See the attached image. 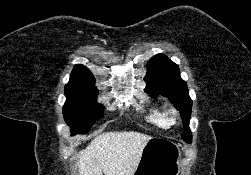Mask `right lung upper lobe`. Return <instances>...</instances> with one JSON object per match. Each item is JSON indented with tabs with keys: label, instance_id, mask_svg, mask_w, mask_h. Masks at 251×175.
Instances as JSON below:
<instances>
[{
	"label": "right lung upper lobe",
	"instance_id": "1",
	"mask_svg": "<svg viewBox=\"0 0 251 175\" xmlns=\"http://www.w3.org/2000/svg\"><path fill=\"white\" fill-rule=\"evenodd\" d=\"M66 86L95 88V78L86 66L77 64L74 66L70 80Z\"/></svg>",
	"mask_w": 251,
	"mask_h": 175
}]
</instances>
